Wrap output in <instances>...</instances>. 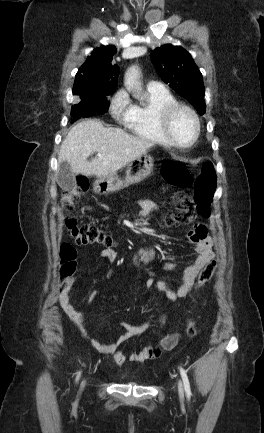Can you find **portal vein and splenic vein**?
I'll use <instances>...</instances> for the list:
<instances>
[{
    "label": "portal vein and splenic vein",
    "instance_id": "1",
    "mask_svg": "<svg viewBox=\"0 0 264 433\" xmlns=\"http://www.w3.org/2000/svg\"><path fill=\"white\" fill-rule=\"evenodd\" d=\"M98 157H99V158H102V155H101V154H98Z\"/></svg>",
    "mask_w": 264,
    "mask_h": 433
}]
</instances>
